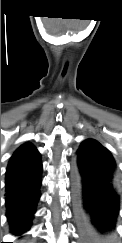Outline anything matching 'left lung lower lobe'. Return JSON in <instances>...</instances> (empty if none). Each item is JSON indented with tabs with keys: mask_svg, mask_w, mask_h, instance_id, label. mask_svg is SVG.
<instances>
[{
	"mask_svg": "<svg viewBox=\"0 0 122 243\" xmlns=\"http://www.w3.org/2000/svg\"><path fill=\"white\" fill-rule=\"evenodd\" d=\"M73 184L82 242L114 243L120 192L117 167L111 153L103 147L75 162Z\"/></svg>",
	"mask_w": 122,
	"mask_h": 243,
	"instance_id": "0a47b994",
	"label": "left lung lower lobe"
}]
</instances>
